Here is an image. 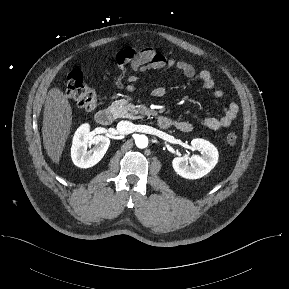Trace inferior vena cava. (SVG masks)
<instances>
[{
	"mask_svg": "<svg viewBox=\"0 0 289 289\" xmlns=\"http://www.w3.org/2000/svg\"><path fill=\"white\" fill-rule=\"evenodd\" d=\"M117 130L120 134H130L134 131V124L129 121H120L117 124Z\"/></svg>",
	"mask_w": 289,
	"mask_h": 289,
	"instance_id": "1",
	"label": "inferior vena cava"
}]
</instances>
